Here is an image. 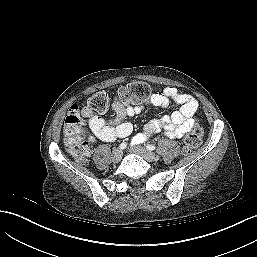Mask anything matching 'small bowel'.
Wrapping results in <instances>:
<instances>
[{
    "instance_id": "c3829d8e",
    "label": "small bowel",
    "mask_w": 257,
    "mask_h": 257,
    "mask_svg": "<svg viewBox=\"0 0 257 257\" xmlns=\"http://www.w3.org/2000/svg\"><path fill=\"white\" fill-rule=\"evenodd\" d=\"M149 103L158 107H166L170 103H175L179 105V108L171 114H165L148 122L143 132L133 138L132 144L142 143L155 133H163L170 138H181L195 124H198V119L195 117L198 109L197 101L174 87H166L162 92L155 93ZM113 109L115 115L110 120H105L87 109L82 111L83 120L92 133L91 142L95 139L111 142L128 137L132 132V125L124 119L139 113L143 106H128L117 101L114 102Z\"/></svg>"
}]
</instances>
